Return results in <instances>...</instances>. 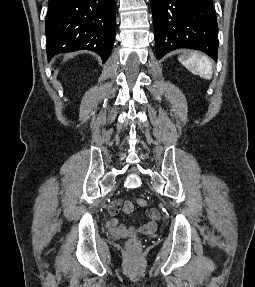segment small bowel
Returning <instances> with one entry per match:
<instances>
[{
  "label": "small bowel",
  "instance_id": "1",
  "mask_svg": "<svg viewBox=\"0 0 255 287\" xmlns=\"http://www.w3.org/2000/svg\"><path fill=\"white\" fill-rule=\"evenodd\" d=\"M134 205L129 200H115L109 206V213L116 215L120 211L131 213ZM147 221L141 226L125 225L118 218H113L110 222V229L117 235H130L134 233L150 234L156 230L157 222L161 219V214L156 209L146 211Z\"/></svg>",
  "mask_w": 255,
  "mask_h": 287
}]
</instances>
